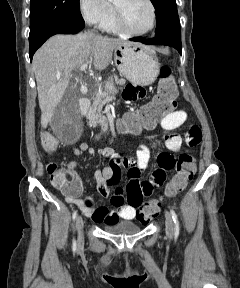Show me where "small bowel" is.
<instances>
[{"label": "small bowel", "mask_w": 240, "mask_h": 288, "mask_svg": "<svg viewBox=\"0 0 240 288\" xmlns=\"http://www.w3.org/2000/svg\"><path fill=\"white\" fill-rule=\"evenodd\" d=\"M123 99L127 102L136 101L145 97V90L141 86L127 85L123 90ZM187 113L184 110H176L167 114L161 121L160 126L166 132L164 143L171 151H178L182 144L188 146L197 145L202 138L201 129L198 126H191L184 136L174 131L185 124ZM137 132L138 130H134ZM75 155L80 156L85 152L94 154L95 150L85 142L80 143L73 148ZM101 156L109 157L110 163L102 170H96L94 177L97 183V190L103 198L111 197V203L114 207L109 210L104 206H97L90 198H78L68 196L67 201L76 205L88 218L97 223L112 224L117 221L131 220L135 217V208L126 202L127 194L131 190H136L143 198L152 194L155 186L162 185L167 177V172L172 169L174 160L167 153L162 152L158 155V167L155 168L145 181L140 177L148 166L150 159V150L147 146L141 145L136 153L135 158L120 156L110 147H104L98 150ZM67 171L77 175L76 169L79 167L78 162L70 161L66 165ZM128 170L129 182L126 189L120 187L111 190L120 181L121 170Z\"/></svg>", "instance_id": "c3829d8e"}]
</instances>
